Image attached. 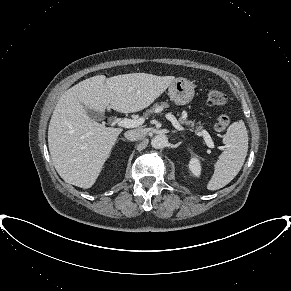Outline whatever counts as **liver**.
Returning a JSON list of instances; mask_svg holds the SVG:
<instances>
[{"mask_svg": "<svg viewBox=\"0 0 291 291\" xmlns=\"http://www.w3.org/2000/svg\"><path fill=\"white\" fill-rule=\"evenodd\" d=\"M175 80L174 76L131 73L97 75L68 89L58 100L48 128V147L61 178L90 188L96 182L121 128L106 127L87 109L102 115L113 109L134 113L150 106Z\"/></svg>", "mask_w": 291, "mask_h": 291, "instance_id": "6515ba94", "label": "liver"}]
</instances>
